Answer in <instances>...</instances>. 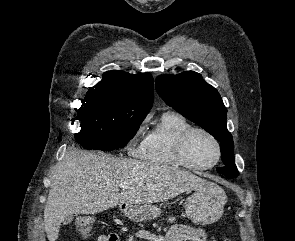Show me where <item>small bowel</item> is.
Returning a JSON list of instances; mask_svg holds the SVG:
<instances>
[{"label": "small bowel", "mask_w": 295, "mask_h": 241, "mask_svg": "<svg viewBox=\"0 0 295 241\" xmlns=\"http://www.w3.org/2000/svg\"><path fill=\"white\" fill-rule=\"evenodd\" d=\"M169 221L172 223V226L165 235L140 230L127 238L126 241H133L134 239L147 241H208V236L204 230L176 223L173 217L169 218ZM99 241H120V238L115 233H109L102 235Z\"/></svg>", "instance_id": "1"}]
</instances>
